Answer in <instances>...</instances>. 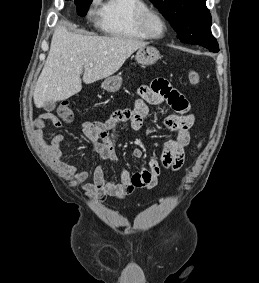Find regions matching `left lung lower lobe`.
Returning a JSON list of instances; mask_svg holds the SVG:
<instances>
[{
	"instance_id": "obj_1",
	"label": "left lung lower lobe",
	"mask_w": 259,
	"mask_h": 283,
	"mask_svg": "<svg viewBox=\"0 0 259 283\" xmlns=\"http://www.w3.org/2000/svg\"><path fill=\"white\" fill-rule=\"evenodd\" d=\"M198 45H201L214 53L219 51V46L217 42L209 43V44H198Z\"/></svg>"
}]
</instances>
